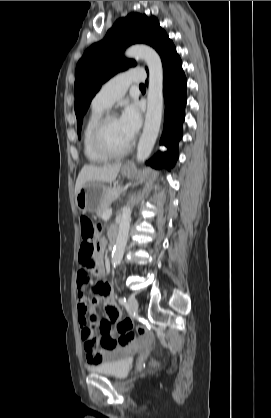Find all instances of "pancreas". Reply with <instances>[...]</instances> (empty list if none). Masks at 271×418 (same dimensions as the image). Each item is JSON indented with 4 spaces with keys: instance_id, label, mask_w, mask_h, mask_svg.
<instances>
[{
    "instance_id": "pancreas-1",
    "label": "pancreas",
    "mask_w": 271,
    "mask_h": 418,
    "mask_svg": "<svg viewBox=\"0 0 271 418\" xmlns=\"http://www.w3.org/2000/svg\"><path fill=\"white\" fill-rule=\"evenodd\" d=\"M122 190V187L117 186L114 188H109L105 192L100 207L97 210L98 217H103L104 213L109 209L111 203L119 197Z\"/></svg>"
}]
</instances>
